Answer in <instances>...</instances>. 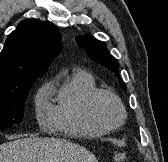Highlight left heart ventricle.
<instances>
[{
  "label": "left heart ventricle",
  "instance_id": "1",
  "mask_svg": "<svg viewBox=\"0 0 168 162\" xmlns=\"http://www.w3.org/2000/svg\"><path fill=\"white\" fill-rule=\"evenodd\" d=\"M97 113L108 125H114L119 121L120 111L113 99L102 96L97 101Z\"/></svg>",
  "mask_w": 168,
  "mask_h": 162
}]
</instances>
